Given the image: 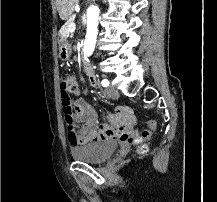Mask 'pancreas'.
I'll return each instance as SVG.
<instances>
[{"label":"pancreas","instance_id":"pancreas-1","mask_svg":"<svg viewBox=\"0 0 217 202\" xmlns=\"http://www.w3.org/2000/svg\"><path fill=\"white\" fill-rule=\"evenodd\" d=\"M71 19H72V18H71ZM69 24H70V23H69L68 21L63 24V26H62V28H61V29H62L61 32H62L63 34H64V33L67 34V33L69 32V31H68V26H69Z\"/></svg>","mask_w":217,"mask_h":202}]
</instances>
